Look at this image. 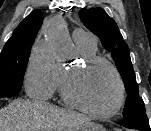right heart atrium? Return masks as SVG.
<instances>
[{
	"label": "right heart atrium",
	"instance_id": "1",
	"mask_svg": "<svg viewBox=\"0 0 151 131\" xmlns=\"http://www.w3.org/2000/svg\"><path fill=\"white\" fill-rule=\"evenodd\" d=\"M59 73V64L49 52L33 50L24 79L27 93L37 99L51 97L58 87Z\"/></svg>",
	"mask_w": 151,
	"mask_h": 131
}]
</instances>
